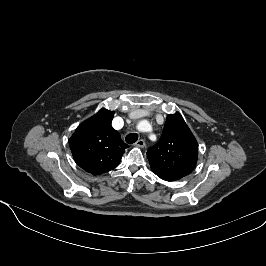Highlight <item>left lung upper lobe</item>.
<instances>
[{"mask_svg": "<svg viewBox=\"0 0 266 266\" xmlns=\"http://www.w3.org/2000/svg\"><path fill=\"white\" fill-rule=\"evenodd\" d=\"M147 157L152 171L166 181L181 179L193 171L198 145L180 113L168 115L161 138L148 149Z\"/></svg>", "mask_w": 266, "mask_h": 266, "instance_id": "left-lung-upper-lobe-1", "label": "left lung upper lobe"}]
</instances>
